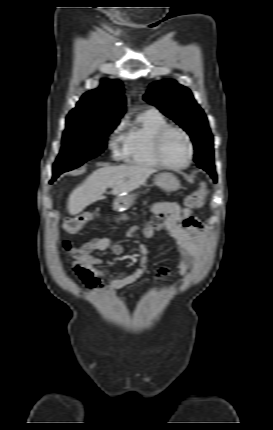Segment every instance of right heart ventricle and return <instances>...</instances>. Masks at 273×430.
I'll return each instance as SVG.
<instances>
[{
	"label": "right heart ventricle",
	"instance_id": "right-heart-ventricle-1",
	"mask_svg": "<svg viewBox=\"0 0 273 430\" xmlns=\"http://www.w3.org/2000/svg\"><path fill=\"white\" fill-rule=\"evenodd\" d=\"M169 125L166 118L158 110H147L137 115L128 124L124 136V160L131 165L144 168H158L153 143L156 133Z\"/></svg>",
	"mask_w": 273,
	"mask_h": 430
}]
</instances>
